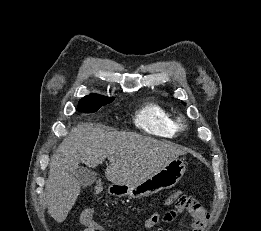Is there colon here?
Listing matches in <instances>:
<instances>
[{
	"mask_svg": "<svg viewBox=\"0 0 261 231\" xmlns=\"http://www.w3.org/2000/svg\"><path fill=\"white\" fill-rule=\"evenodd\" d=\"M171 201L176 205L179 213L190 217L196 224L205 227L208 223L209 212L193 196L179 191L173 194Z\"/></svg>",
	"mask_w": 261,
	"mask_h": 231,
	"instance_id": "colon-1",
	"label": "colon"
}]
</instances>
